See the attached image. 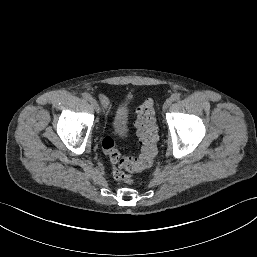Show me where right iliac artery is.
Wrapping results in <instances>:
<instances>
[{
  "label": "right iliac artery",
  "instance_id": "82829eb1",
  "mask_svg": "<svg viewBox=\"0 0 257 257\" xmlns=\"http://www.w3.org/2000/svg\"><path fill=\"white\" fill-rule=\"evenodd\" d=\"M82 96H83L84 99H86L88 101H90L92 99L91 95L89 93H87V92H84L82 94Z\"/></svg>",
  "mask_w": 257,
  "mask_h": 257
}]
</instances>
